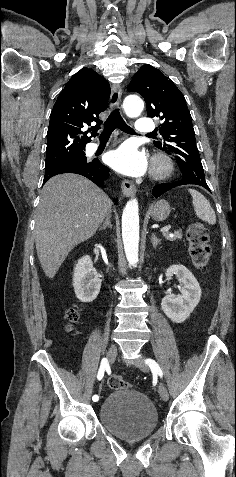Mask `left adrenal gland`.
Here are the masks:
<instances>
[{
	"label": "left adrenal gland",
	"mask_w": 236,
	"mask_h": 477,
	"mask_svg": "<svg viewBox=\"0 0 236 477\" xmlns=\"http://www.w3.org/2000/svg\"><path fill=\"white\" fill-rule=\"evenodd\" d=\"M160 242H161V240L158 239V238L156 237V235L153 233V234H152V237H151V243H152L153 247L156 248L157 245H158Z\"/></svg>",
	"instance_id": "left-adrenal-gland-1"
}]
</instances>
